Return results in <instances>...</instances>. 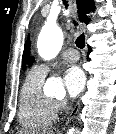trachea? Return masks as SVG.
Instances as JSON below:
<instances>
[{
	"label": "trachea",
	"instance_id": "1",
	"mask_svg": "<svg viewBox=\"0 0 116 134\" xmlns=\"http://www.w3.org/2000/svg\"><path fill=\"white\" fill-rule=\"evenodd\" d=\"M65 6L67 7V2L64 1ZM75 44L78 48L83 49L85 47V36L84 34H81L77 37Z\"/></svg>",
	"mask_w": 116,
	"mask_h": 134
}]
</instances>
